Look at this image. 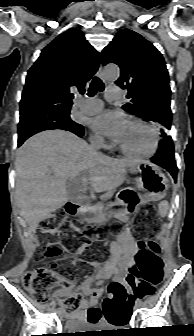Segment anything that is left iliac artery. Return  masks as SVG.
Masks as SVG:
<instances>
[{
  "mask_svg": "<svg viewBox=\"0 0 194 336\" xmlns=\"http://www.w3.org/2000/svg\"><path fill=\"white\" fill-rule=\"evenodd\" d=\"M140 302H141L140 300H137V301H136V304H140Z\"/></svg>",
  "mask_w": 194,
  "mask_h": 336,
  "instance_id": "obj_1",
  "label": "left iliac artery"
}]
</instances>
